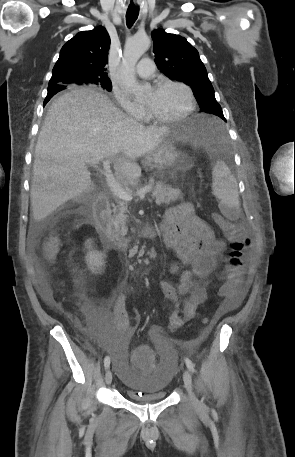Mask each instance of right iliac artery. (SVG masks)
I'll return each mask as SVG.
<instances>
[{"label": "right iliac artery", "instance_id": "right-iliac-artery-1", "mask_svg": "<svg viewBox=\"0 0 295 457\" xmlns=\"http://www.w3.org/2000/svg\"><path fill=\"white\" fill-rule=\"evenodd\" d=\"M104 366H105L106 369L110 366V358H109V356L105 357Z\"/></svg>", "mask_w": 295, "mask_h": 457}]
</instances>
